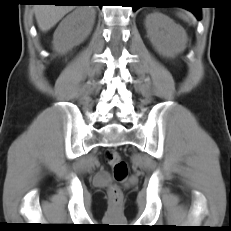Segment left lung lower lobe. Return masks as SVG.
<instances>
[{
	"label": "left lung lower lobe",
	"mask_w": 231,
	"mask_h": 231,
	"mask_svg": "<svg viewBox=\"0 0 231 231\" xmlns=\"http://www.w3.org/2000/svg\"><path fill=\"white\" fill-rule=\"evenodd\" d=\"M160 0H133V10L136 11L140 7H157V4H159ZM171 3L175 4H185L183 7L195 14L198 20L201 19V7L197 6V2L193 0H175Z\"/></svg>",
	"instance_id": "left-lung-lower-lobe-1"
}]
</instances>
